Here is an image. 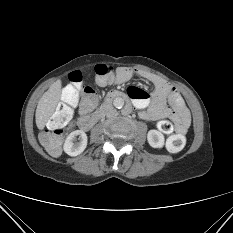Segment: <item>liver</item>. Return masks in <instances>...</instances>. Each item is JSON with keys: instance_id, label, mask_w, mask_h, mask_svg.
Returning a JSON list of instances; mask_svg holds the SVG:
<instances>
[{"instance_id": "liver-1", "label": "liver", "mask_w": 233, "mask_h": 233, "mask_svg": "<svg viewBox=\"0 0 233 233\" xmlns=\"http://www.w3.org/2000/svg\"><path fill=\"white\" fill-rule=\"evenodd\" d=\"M61 98V80L54 82L40 98L36 113V125L38 129H44L45 125L53 115Z\"/></svg>"}]
</instances>
